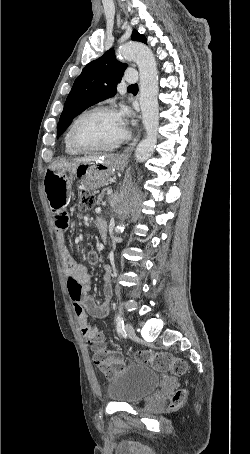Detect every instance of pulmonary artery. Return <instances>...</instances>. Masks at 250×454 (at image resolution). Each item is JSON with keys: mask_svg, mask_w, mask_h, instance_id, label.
I'll return each mask as SVG.
<instances>
[{"mask_svg": "<svg viewBox=\"0 0 250 454\" xmlns=\"http://www.w3.org/2000/svg\"><path fill=\"white\" fill-rule=\"evenodd\" d=\"M124 80L128 83H135L138 81V74L133 70H128L125 74Z\"/></svg>", "mask_w": 250, "mask_h": 454, "instance_id": "1", "label": "pulmonary artery"}]
</instances>
